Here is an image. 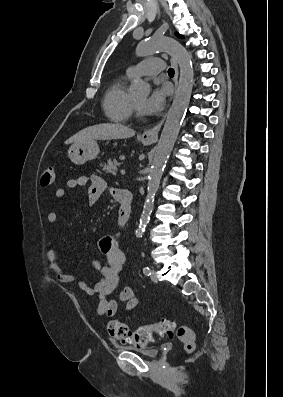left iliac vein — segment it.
<instances>
[{"label": "left iliac vein", "mask_w": 283, "mask_h": 397, "mask_svg": "<svg viewBox=\"0 0 283 397\" xmlns=\"http://www.w3.org/2000/svg\"><path fill=\"white\" fill-rule=\"evenodd\" d=\"M150 278H151V280H152L154 283H157V282H158V277H157V273H156L155 270H152V271H151Z\"/></svg>", "instance_id": "1"}]
</instances>
